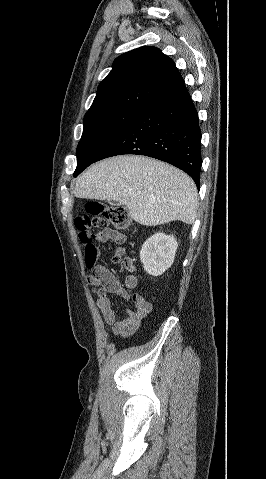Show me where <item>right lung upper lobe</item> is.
<instances>
[{
	"instance_id": "1",
	"label": "right lung upper lobe",
	"mask_w": 266,
	"mask_h": 479,
	"mask_svg": "<svg viewBox=\"0 0 266 479\" xmlns=\"http://www.w3.org/2000/svg\"><path fill=\"white\" fill-rule=\"evenodd\" d=\"M182 84L173 60L160 49L143 46L131 50L116 58L85 117L120 109L142 110Z\"/></svg>"
}]
</instances>
